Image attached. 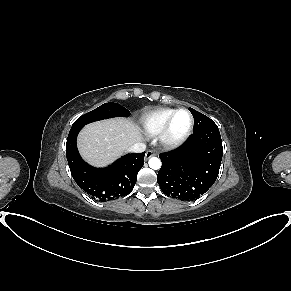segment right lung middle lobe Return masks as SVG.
<instances>
[{"label": "right lung middle lobe", "instance_id": "1", "mask_svg": "<svg viewBox=\"0 0 291 291\" xmlns=\"http://www.w3.org/2000/svg\"><path fill=\"white\" fill-rule=\"evenodd\" d=\"M130 115V112L117 103H105L101 105L100 107L94 109L93 111H90L82 116H80L72 125L71 129L76 128H82L84 125L98 121L103 120L107 118L117 117V116H124L128 117Z\"/></svg>", "mask_w": 291, "mask_h": 291}]
</instances>
